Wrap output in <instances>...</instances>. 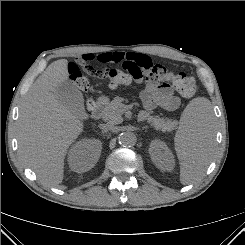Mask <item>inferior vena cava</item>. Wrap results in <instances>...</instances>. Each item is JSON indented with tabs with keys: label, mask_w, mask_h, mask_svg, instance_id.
I'll list each match as a JSON object with an SVG mask.
<instances>
[{
	"label": "inferior vena cava",
	"mask_w": 245,
	"mask_h": 245,
	"mask_svg": "<svg viewBox=\"0 0 245 245\" xmlns=\"http://www.w3.org/2000/svg\"><path fill=\"white\" fill-rule=\"evenodd\" d=\"M104 128L106 129V130H108V131H111V132H113V133H115V132H117V127H115V126H113V125H106V126H104Z\"/></svg>",
	"instance_id": "obj_1"
}]
</instances>
